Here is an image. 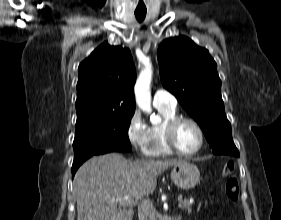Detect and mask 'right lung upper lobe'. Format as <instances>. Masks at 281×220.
Wrapping results in <instances>:
<instances>
[{
    "instance_id": "right-lung-upper-lobe-1",
    "label": "right lung upper lobe",
    "mask_w": 281,
    "mask_h": 220,
    "mask_svg": "<svg viewBox=\"0 0 281 220\" xmlns=\"http://www.w3.org/2000/svg\"><path fill=\"white\" fill-rule=\"evenodd\" d=\"M78 71L77 118L135 111L136 71L128 48L104 43Z\"/></svg>"
}]
</instances>
